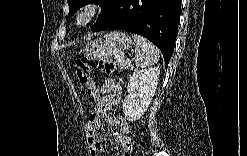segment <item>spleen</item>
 I'll list each match as a JSON object with an SVG mask.
<instances>
[{"label":"spleen","mask_w":247,"mask_h":156,"mask_svg":"<svg viewBox=\"0 0 247 156\" xmlns=\"http://www.w3.org/2000/svg\"><path fill=\"white\" fill-rule=\"evenodd\" d=\"M135 42V64L137 67H147L156 64L160 55L158 48L146 38L134 34Z\"/></svg>","instance_id":"3e777b00"}]
</instances>
